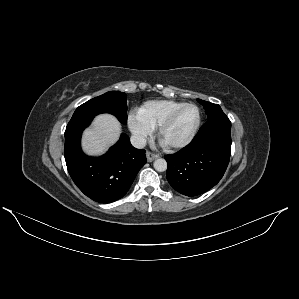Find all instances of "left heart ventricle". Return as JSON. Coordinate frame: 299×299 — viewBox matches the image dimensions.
I'll return each instance as SVG.
<instances>
[{"mask_svg": "<svg viewBox=\"0 0 299 299\" xmlns=\"http://www.w3.org/2000/svg\"><path fill=\"white\" fill-rule=\"evenodd\" d=\"M198 117L194 107L183 109L173 123L165 130L163 139L167 143H175L185 139L193 130Z\"/></svg>", "mask_w": 299, "mask_h": 299, "instance_id": "obj_1", "label": "left heart ventricle"}]
</instances>
